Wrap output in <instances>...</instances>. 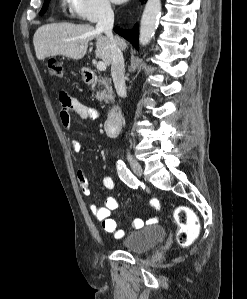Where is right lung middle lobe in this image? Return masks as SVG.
Returning <instances> with one entry per match:
<instances>
[{
	"instance_id": "right-lung-middle-lobe-1",
	"label": "right lung middle lobe",
	"mask_w": 247,
	"mask_h": 299,
	"mask_svg": "<svg viewBox=\"0 0 247 299\" xmlns=\"http://www.w3.org/2000/svg\"><path fill=\"white\" fill-rule=\"evenodd\" d=\"M50 0H45L44 5L40 11V15L44 14L48 8V4H49Z\"/></svg>"
}]
</instances>
